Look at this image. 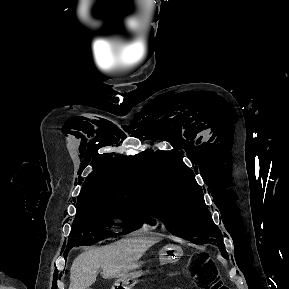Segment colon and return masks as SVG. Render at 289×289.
<instances>
[{"instance_id": "5ec220e1", "label": "colon", "mask_w": 289, "mask_h": 289, "mask_svg": "<svg viewBox=\"0 0 289 289\" xmlns=\"http://www.w3.org/2000/svg\"><path fill=\"white\" fill-rule=\"evenodd\" d=\"M188 273L192 283L199 289H227L205 259L191 265Z\"/></svg>"}]
</instances>
